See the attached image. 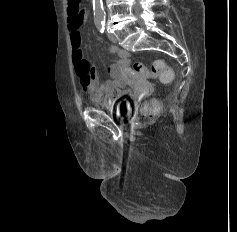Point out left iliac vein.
Masks as SVG:
<instances>
[{
	"label": "left iliac vein",
	"mask_w": 237,
	"mask_h": 232,
	"mask_svg": "<svg viewBox=\"0 0 237 232\" xmlns=\"http://www.w3.org/2000/svg\"><path fill=\"white\" fill-rule=\"evenodd\" d=\"M107 35H108V38H109V40H110L111 42H113V43H116V42H117V38H116V36H115L114 34L108 33Z\"/></svg>",
	"instance_id": "4c4485c4"
}]
</instances>
